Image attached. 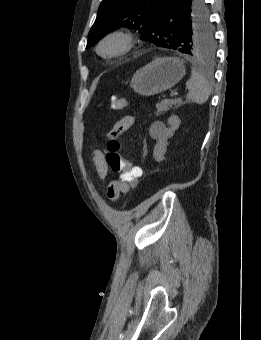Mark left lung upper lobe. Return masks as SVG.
<instances>
[{
	"label": "left lung upper lobe",
	"mask_w": 261,
	"mask_h": 340,
	"mask_svg": "<svg viewBox=\"0 0 261 340\" xmlns=\"http://www.w3.org/2000/svg\"><path fill=\"white\" fill-rule=\"evenodd\" d=\"M164 1L103 0L90 29L86 49L107 33L128 27L139 30L141 39L158 47L192 56H211L215 51V39L205 3L198 5L190 18L180 17L176 23H170L159 16Z\"/></svg>",
	"instance_id": "obj_1"
}]
</instances>
